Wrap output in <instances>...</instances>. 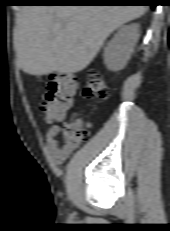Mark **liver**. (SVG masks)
I'll return each instance as SVG.
<instances>
[{
	"label": "liver",
	"mask_w": 170,
	"mask_h": 231,
	"mask_svg": "<svg viewBox=\"0 0 170 231\" xmlns=\"http://www.w3.org/2000/svg\"><path fill=\"white\" fill-rule=\"evenodd\" d=\"M146 10L141 5L24 6L15 31L18 66L36 76L79 72L113 31Z\"/></svg>",
	"instance_id": "liver-1"
}]
</instances>
